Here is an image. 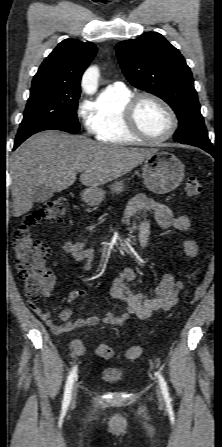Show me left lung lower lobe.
Masks as SVG:
<instances>
[{
    "instance_id": "obj_1",
    "label": "left lung lower lobe",
    "mask_w": 222,
    "mask_h": 447,
    "mask_svg": "<svg viewBox=\"0 0 222 447\" xmlns=\"http://www.w3.org/2000/svg\"><path fill=\"white\" fill-rule=\"evenodd\" d=\"M195 146H198V147L202 148L203 150L207 151L208 153L214 155V148L212 145L200 144V145H195Z\"/></svg>"
}]
</instances>
